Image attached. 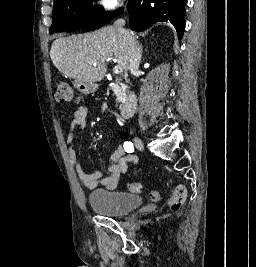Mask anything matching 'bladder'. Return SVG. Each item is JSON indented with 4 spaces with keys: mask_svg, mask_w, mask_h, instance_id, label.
Instances as JSON below:
<instances>
[{
    "mask_svg": "<svg viewBox=\"0 0 256 267\" xmlns=\"http://www.w3.org/2000/svg\"><path fill=\"white\" fill-rule=\"evenodd\" d=\"M88 201L93 210L99 214L120 216L141 206L143 198L125 192L99 190L90 193Z\"/></svg>",
    "mask_w": 256,
    "mask_h": 267,
    "instance_id": "1",
    "label": "bladder"
}]
</instances>
